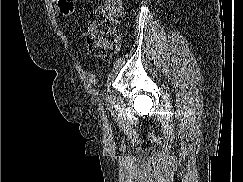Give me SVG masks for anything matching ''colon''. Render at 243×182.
<instances>
[{
	"instance_id": "colon-1",
	"label": "colon",
	"mask_w": 243,
	"mask_h": 182,
	"mask_svg": "<svg viewBox=\"0 0 243 182\" xmlns=\"http://www.w3.org/2000/svg\"><path fill=\"white\" fill-rule=\"evenodd\" d=\"M77 0H57L59 11L70 16ZM122 11V0H104L103 4L89 14L87 47L97 56L111 55L116 52L119 37L116 33L118 19Z\"/></svg>"
}]
</instances>
